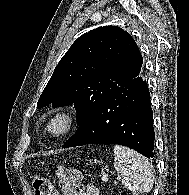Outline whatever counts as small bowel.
<instances>
[{
  "label": "small bowel",
  "instance_id": "obj_1",
  "mask_svg": "<svg viewBox=\"0 0 189 195\" xmlns=\"http://www.w3.org/2000/svg\"><path fill=\"white\" fill-rule=\"evenodd\" d=\"M85 195H99V190L95 186H89L86 188Z\"/></svg>",
  "mask_w": 189,
  "mask_h": 195
}]
</instances>
